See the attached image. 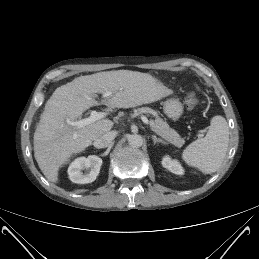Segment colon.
I'll return each mask as SVG.
<instances>
[{
    "label": "colon",
    "instance_id": "1",
    "mask_svg": "<svg viewBox=\"0 0 259 259\" xmlns=\"http://www.w3.org/2000/svg\"><path fill=\"white\" fill-rule=\"evenodd\" d=\"M199 101L193 92H188L185 97V106L188 110H193L197 107Z\"/></svg>",
    "mask_w": 259,
    "mask_h": 259
}]
</instances>
